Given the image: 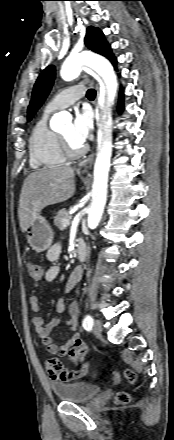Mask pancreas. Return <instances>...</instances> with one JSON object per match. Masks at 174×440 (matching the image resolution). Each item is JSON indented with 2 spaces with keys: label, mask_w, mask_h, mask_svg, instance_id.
<instances>
[{
  "label": "pancreas",
  "mask_w": 174,
  "mask_h": 440,
  "mask_svg": "<svg viewBox=\"0 0 174 440\" xmlns=\"http://www.w3.org/2000/svg\"><path fill=\"white\" fill-rule=\"evenodd\" d=\"M64 219H70V216L66 209H61L56 213V216L54 217V225L63 230L64 227L62 226V220Z\"/></svg>",
  "instance_id": "cf45deb5"
}]
</instances>
